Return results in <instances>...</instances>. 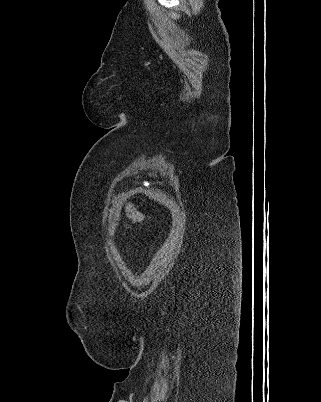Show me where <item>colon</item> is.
<instances>
[{
	"instance_id": "1",
	"label": "colon",
	"mask_w": 321,
	"mask_h": 402,
	"mask_svg": "<svg viewBox=\"0 0 321 402\" xmlns=\"http://www.w3.org/2000/svg\"><path fill=\"white\" fill-rule=\"evenodd\" d=\"M125 211L128 217L133 220L134 222H143L149 220L150 217L147 216L144 212L137 209L133 204L126 203L125 204Z\"/></svg>"
}]
</instances>
